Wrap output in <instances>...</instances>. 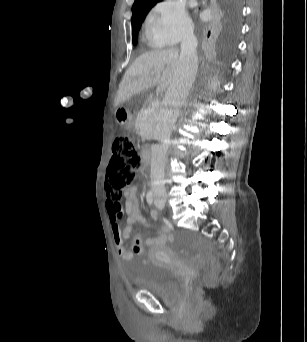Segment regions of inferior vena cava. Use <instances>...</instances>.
I'll return each mask as SVG.
<instances>
[{
	"label": "inferior vena cava",
	"mask_w": 307,
	"mask_h": 342,
	"mask_svg": "<svg viewBox=\"0 0 307 342\" xmlns=\"http://www.w3.org/2000/svg\"><path fill=\"white\" fill-rule=\"evenodd\" d=\"M197 46V38L193 32H186L181 44L179 66L175 78L165 94L163 100L164 110L155 130L156 138L160 144H156L151 148L150 178L154 192L165 194V156L169 148L171 132L175 128L179 116V110L186 102L196 76L198 66Z\"/></svg>",
	"instance_id": "inferior-vena-cava-1"
}]
</instances>
